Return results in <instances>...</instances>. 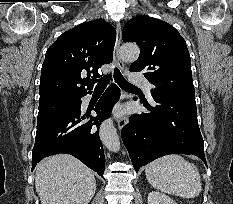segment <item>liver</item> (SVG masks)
<instances>
[{"label": "liver", "mask_w": 233, "mask_h": 204, "mask_svg": "<svg viewBox=\"0 0 233 204\" xmlns=\"http://www.w3.org/2000/svg\"><path fill=\"white\" fill-rule=\"evenodd\" d=\"M41 204H88L96 191L94 173L71 155L58 154L36 166Z\"/></svg>", "instance_id": "1"}]
</instances>
